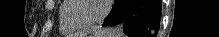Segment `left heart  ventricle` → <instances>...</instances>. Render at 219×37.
<instances>
[{"label": "left heart ventricle", "mask_w": 219, "mask_h": 37, "mask_svg": "<svg viewBox=\"0 0 219 37\" xmlns=\"http://www.w3.org/2000/svg\"><path fill=\"white\" fill-rule=\"evenodd\" d=\"M76 7L70 17L76 22H86L97 18L103 9L101 0H75Z\"/></svg>", "instance_id": "left-heart-ventricle-1"}]
</instances>
